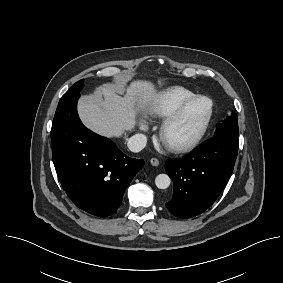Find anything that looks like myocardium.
Returning a JSON list of instances; mask_svg holds the SVG:
<instances>
[{
    "mask_svg": "<svg viewBox=\"0 0 283 283\" xmlns=\"http://www.w3.org/2000/svg\"><path fill=\"white\" fill-rule=\"evenodd\" d=\"M201 99H206L210 102V108L201 128L198 132L193 135L192 137L178 141V142H171L169 140V134L173 130V128L180 122L183 118L187 110L197 101ZM214 113V102L213 100L206 96V95H195L191 99L187 100L184 104H182L172 115H170L162 124L160 131H159V138L160 140L166 144L172 151L174 152H187L194 149L196 146L204 138L207 130L210 126L212 117Z\"/></svg>",
    "mask_w": 283,
    "mask_h": 283,
    "instance_id": "myocardium-1",
    "label": "myocardium"
}]
</instances>
